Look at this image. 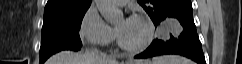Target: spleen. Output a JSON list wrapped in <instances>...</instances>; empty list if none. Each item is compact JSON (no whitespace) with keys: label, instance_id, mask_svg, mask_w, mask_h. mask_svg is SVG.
Here are the masks:
<instances>
[{"label":"spleen","instance_id":"1","mask_svg":"<svg viewBox=\"0 0 242 64\" xmlns=\"http://www.w3.org/2000/svg\"><path fill=\"white\" fill-rule=\"evenodd\" d=\"M152 64H192L191 61L177 56V55H165L156 57L153 59Z\"/></svg>","mask_w":242,"mask_h":64}]
</instances>
